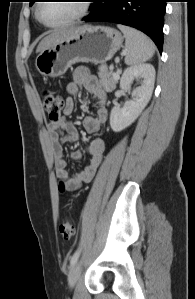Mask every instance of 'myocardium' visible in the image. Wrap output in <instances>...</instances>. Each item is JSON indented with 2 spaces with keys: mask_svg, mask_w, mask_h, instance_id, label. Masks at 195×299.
<instances>
[{
  "mask_svg": "<svg viewBox=\"0 0 195 299\" xmlns=\"http://www.w3.org/2000/svg\"><path fill=\"white\" fill-rule=\"evenodd\" d=\"M80 1H81V8H80L79 13L61 23L49 24L41 18L40 7H41L42 3H37L36 8H35V16L41 24H43L44 26H46L48 28H61V27L70 25L76 21L83 19L88 14V12L90 10L89 1L88 0H80Z\"/></svg>",
  "mask_w": 195,
  "mask_h": 299,
  "instance_id": "f54148a6",
  "label": "myocardium"
}]
</instances>
